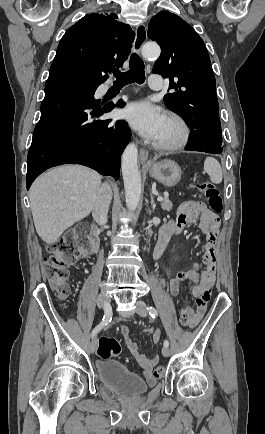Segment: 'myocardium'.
Listing matches in <instances>:
<instances>
[{
  "label": "myocardium",
  "mask_w": 265,
  "mask_h": 434,
  "mask_svg": "<svg viewBox=\"0 0 265 434\" xmlns=\"http://www.w3.org/2000/svg\"><path fill=\"white\" fill-rule=\"evenodd\" d=\"M167 123L174 130L173 137L165 143H155L154 148L161 152H176L184 148L190 138V128L186 120L176 113H171Z\"/></svg>",
  "instance_id": "obj_1"
}]
</instances>
